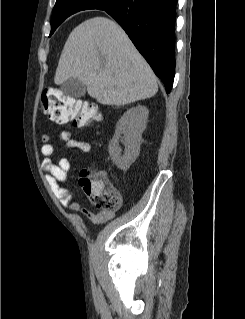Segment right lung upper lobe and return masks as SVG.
<instances>
[{"mask_svg":"<svg viewBox=\"0 0 245 319\" xmlns=\"http://www.w3.org/2000/svg\"><path fill=\"white\" fill-rule=\"evenodd\" d=\"M58 1V0H57ZM67 1H71V2H81L82 0H67ZM107 9V8H106ZM82 9H81V7H78V6H74L73 5V8H72V11H73V13H76V12H78V11H81ZM103 10V9H102ZM72 13V14H73Z\"/></svg>","mask_w":245,"mask_h":319,"instance_id":"obj_1","label":"right lung upper lobe"}]
</instances>
